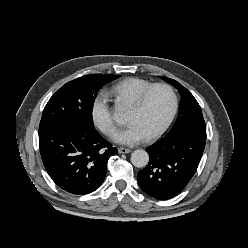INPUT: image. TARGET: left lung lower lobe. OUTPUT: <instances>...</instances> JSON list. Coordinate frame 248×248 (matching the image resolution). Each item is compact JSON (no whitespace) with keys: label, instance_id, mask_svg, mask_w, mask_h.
Segmentation results:
<instances>
[{"label":"left lung lower lobe","instance_id":"1","mask_svg":"<svg viewBox=\"0 0 248 248\" xmlns=\"http://www.w3.org/2000/svg\"><path fill=\"white\" fill-rule=\"evenodd\" d=\"M206 142V131L182 129L147 148L148 165L138 172L140 188L166 200L178 195L195 174Z\"/></svg>","mask_w":248,"mask_h":248}]
</instances>
